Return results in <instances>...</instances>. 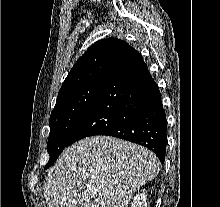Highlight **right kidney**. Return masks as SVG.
I'll return each instance as SVG.
<instances>
[{
	"mask_svg": "<svg viewBox=\"0 0 220 207\" xmlns=\"http://www.w3.org/2000/svg\"><path fill=\"white\" fill-rule=\"evenodd\" d=\"M131 207H147V195L145 192L138 193L134 196Z\"/></svg>",
	"mask_w": 220,
	"mask_h": 207,
	"instance_id": "1",
	"label": "right kidney"
}]
</instances>
